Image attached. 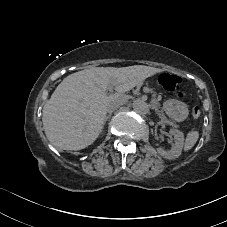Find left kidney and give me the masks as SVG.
Returning <instances> with one entry per match:
<instances>
[{"label":"left kidney","instance_id":"left-kidney-1","mask_svg":"<svg viewBox=\"0 0 227 227\" xmlns=\"http://www.w3.org/2000/svg\"><path fill=\"white\" fill-rule=\"evenodd\" d=\"M169 133L173 135L174 143L170 150H165L163 148H158L157 152L165 159H175L181 154V150L184 144V135L181 131L176 129H170Z\"/></svg>","mask_w":227,"mask_h":227}]
</instances>
